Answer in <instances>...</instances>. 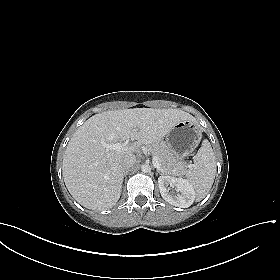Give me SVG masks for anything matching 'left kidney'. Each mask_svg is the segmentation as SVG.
I'll return each mask as SVG.
<instances>
[{
  "label": "left kidney",
  "instance_id": "5707ae66",
  "mask_svg": "<svg viewBox=\"0 0 280 280\" xmlns=\"http://www.w3.org/2000/svg\"><path fill=\"white\" fill-rule=\"evenodd\" d=\"M158 185L161 196L171 205L187 208L195 199L193 187L183 178L162 175L158 178ZM174 188L175 191H171Z\"/></svg>",
  "mask_w": 280,
  "mask_h": 280
}]
</instances>
